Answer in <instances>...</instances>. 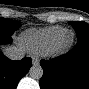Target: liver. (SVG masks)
<instances>
[{
  "instance_id": "1",
  "label": "liver",
  "mask_w": 89,
  "mask_h": 89,
  "mask_svg": "<svg viewBox=\"0 0 89 89\" xmlns=\"http://www.w3.org/2000/svg\"><path fill=\"white\" fill-rule=\"evenodd\" d=\"M7 48H8V47L3 48L4 52L6 51ZM9 48H10V47H9Z\"/></svg>"
}]
</instances>
